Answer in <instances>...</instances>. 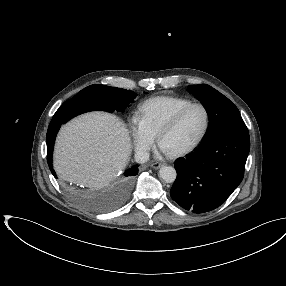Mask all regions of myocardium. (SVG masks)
Here are the masks:
<instances>
[{
    "label": "myocardium",
    "instance_id": "myocardium-1",
    "mask_svg": "<svg viewBox=\"0 0 286 286\" xmlns=\"http://www.w3.org/2000/svg\"><path fill=\"white\" fill-rule=\"evenodd\" d=\"M193 107H200L205 115V123H204V127L203 130L201 132V134L199 135V137L197 138V140L190 145L189 147L177 151V152H173V153H168L170 156L178 158V157H183L186 156L192 152H194L204 141L209 128H210V113L208 108L200 102H192L186 106H184L183 108L179 109L168 121H166L163 126L160 128V130L157 133V143L158 146L161 147V142L162 139L164 137V135L170 131L172 128H174L177 123L180 121V119Z\"/></svg>",
    "mask_w": 286,
    "mask_h": 286
}]
</instances>
